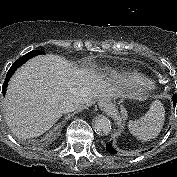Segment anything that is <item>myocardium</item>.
I'll use <instances>...</instances> for the list:
<instances>
[{"instance_id": "obj_1", "label": "myocardium", "mask_w": 177, "mask_h": 177, "mask_svg": "<svg viewBox=\"0 0 177 177\" xmlns=\"http://www.w3.org/2000/svg\"><path fill=\"white\" fill-rule=\"evenodd\" d=\"M138 82H140V80L139 79H136ZM152 88V85H148V86H146L145 87V89H151Z\"/></svg>"}]
</instances>
